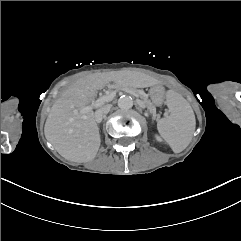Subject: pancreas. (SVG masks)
I'll return each instance as SVG.
<instances>
[{"mask_svg":"<svg viewBox=\"0 0 241 241\" xmlns=\"http://www.w3.org/2000/svg\"><path fill=\"white\" fill-rule=\"evenodd\" d=\"M111 87L119 88V89H121L122 87L128 88L127 85H121V84H120V85H116V84H115V85L110 86L111 92H117V90H113V89H111ZM121 90H122V89H121ZM129 90H133V89H132V88H129ZM133 91H134V90H133ZM134 92L136 93L134 96L140 98L143 102H145V105H146V106H149V105L151 104L147 97H145L144 95H142L141 93H139L137 90H135ZM130 94L133 95L132 93H130ZM148 110H149L150 113H153V112H154V109H153L152 106H149V107H148Z\"/></svg>","mask_w":241,"mask_h":241,"instance_id":"obj_1","label":"pancreas"}]
</instances>
